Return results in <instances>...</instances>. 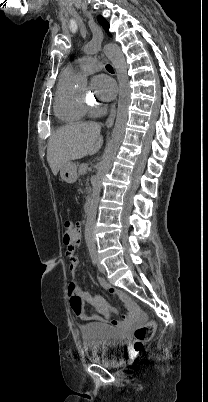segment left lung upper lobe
<instances>
[{"instance_id":"obj_1","label":"left lung upper lobe","mask_w":208,"mask_h":402,"mask_svg":"<svg viewBox=\"0 0 208 402\" xmlns=\"http://www.w3.org/2000/svg\"><path fill=\"white\" fill-rule=\"evenodd\" d=\"M98 21H99V23L104 27V29L106 30V32L109 33V32H108L109 24L107 23V21H106L103 17H101V16H98Z\"/></svg>"}]
</instances>
